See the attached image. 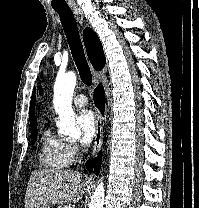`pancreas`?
I'll return each mask as SVG.
<instances>
[{"label":"pancreas","instance_id":"obj_1","mask_svg":"<svg viewBox=\"0 0 199 208\" xmlns=\"http://www.w3.org/2000/svg\"><path fill=\"white\" fill-rule=\"evenodd\" d=\"M59 208H72L70 205H64L63 207H59Z\"/></svg>","mask_w":199,"mask_h":208}]
</instances>
